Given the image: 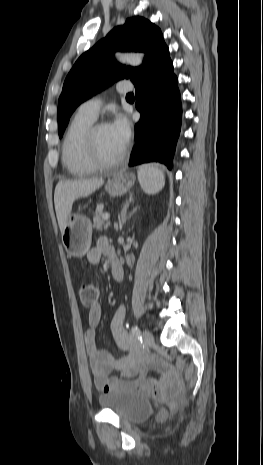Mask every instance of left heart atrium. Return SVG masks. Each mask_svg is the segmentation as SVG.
Wrapping results in <instances>:
<instances>
[{
  "mask_svg": "<svg viewBox=\"0 0 263 465\" xmlns=\"http://www.w3.org/2000/svg\"><path fill=\"white\" fill-rule=\"evenodd\" d=\"M110 129L118 142L125 148L131 135L130 125L126 117L117 115L110 125Z\"/></svg>",
  "mask_w": 263,
  "mask_h": 465,
  "instance_id": "1",
  "label": "left heart atrium"
}]
</instances>
